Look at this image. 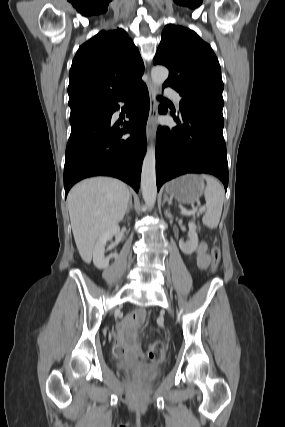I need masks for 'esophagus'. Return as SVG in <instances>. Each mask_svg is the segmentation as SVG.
Segmentation results:
<instances>
[{
    "mask_svg": "<svg viewBox=\"0 0 285 427\" xmlns=\"http://www.w3.org/2000/svg\"><path fill=\"white\" fill-rule=\"evenodd\" d=\"M147 88H148L149 97H150V109H149V116H148L147 126H146V134H147V141L150 142L155 133L154 120L157 116V109H156L157 103L155 98L157 94V87L149 79L147 82Z\"/></svg>",
    "mask_w": 285,
    "mask_h": 427,
    "instance_id": "esophagus-1",
    "label": "esophagus"
}]
</instances>
